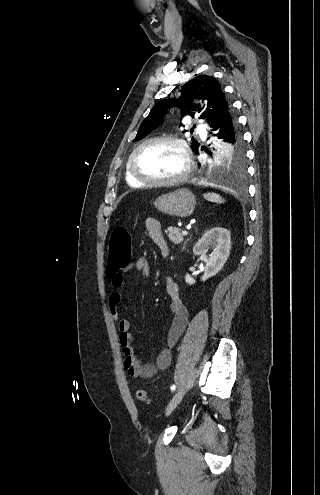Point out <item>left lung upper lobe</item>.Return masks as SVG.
Instances as JSON below:
<instances>
[{
    "mask_svg": "<svg viewBox=\"0 0 320 495\" xmlns=\"http://www.w3.org/2000/svg\"><path fill=\"white\" fill-rule=\"evenodd\" d=\"M194 98L207 101V107L199 118H206L210 126L222 113L231 108L229 101L222 91L221 85L215 78L208 75L197 76L182 87L181 96L178 99L163 100L153 107L140 125L134 141L144 138L149 132L155 129L162 122V117L167 108L177 106L181 109L182 117L184 115L194 117L196 111H202V109L197 110L199 105L196 106L193 104ZM192 146L198 151L200 144L194 141ZM204 150L212 156L210 151ZM214 150V156H212L213 162L211 163V170L214 174L223 175L228 173L236 175L245 172V153L238 125L233 139L225 140L221 143L218 142L217 148Z\"/></svg>",
    "mask_w": 320,
    "mask_h": 495,
    "instance_id": "left-lung-upper-lobe-1",
    "label": "left lung upper lobe"
}]
</instances>
